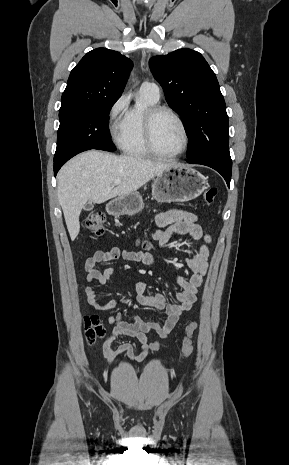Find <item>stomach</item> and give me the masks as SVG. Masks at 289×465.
Here are the masks:
<instances>
[{
	"instance_id": "obj_1",
	"label": "stomach",
	"mask_w": 289,
	"mask_h": 465,
	"mask_svg": "<svg viewBox=\"0 0 289 465\" xmlns=\"http://www.w3.org/2000/svg\"><path fill=\"white\" fill-rule=\"evenodd\" d=\"M207 181L197 170L174 164L154 178L152 196L161 203L187 202L206 189ZM143 207L139 193L133 192L112 200L107 209L114 215H133Z\"/></svg>"
}]
</instances>
